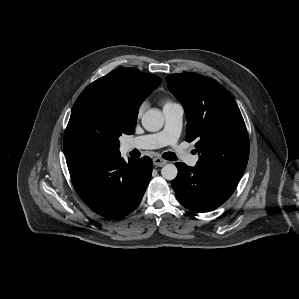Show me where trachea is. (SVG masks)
<instances>
[{
  "instance_id": "obj_1",
  "label": "trachea",
  "mask_w": 299,
  "mask_h": 299,
  "mask_svg": "<svg viewBox=\"0 0 299 299\" xmlns=\"http://www.w3.org/2000/svg\"><path fill=\"white\" fill-rule=\"evenodd\" d=\"M162 157L167 160L175 161L177 160L176 155L173 152H165Z\"/></svg>"
}]
</instances>
